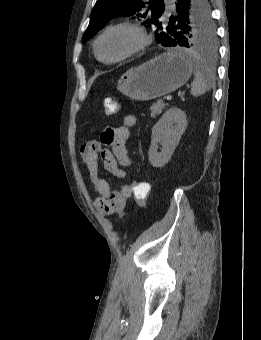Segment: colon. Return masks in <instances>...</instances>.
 Listing matches in <instances>:
<instances>
[{"mask_svg": "<svg viewBox=\"0 0 261 340\" xmlns=\"http://www.w3.org/2000/svg\"><path fill=\"white\" fill-rule=\"evenodd\" d=\"M119 104L114 98H107L104 101V110L107 115H113L117 113ZM132 195L135 200L144 206L149 196L150 187L147 183L133 182L131 184Z\"/></svg>", "mask_w": 261, "mask_h": 340, "instance_id": "5ec220e1", "label": "colon"}]
</instances>
